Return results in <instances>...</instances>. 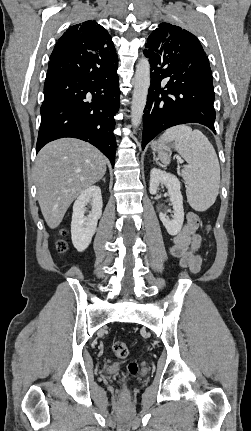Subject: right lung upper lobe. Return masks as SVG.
Segmentation results:
<instances>
[{"label":"right lung upper lobe","mask_w":251,"mask_h":431,"mask_svg":"<svg viewBox=\"0 0 251 431\" xmlns=\"http://www.w3.org/2000/svg\"><path fill=\"white\" fill-rule=\"evenodd\" d=\"M54 48L67 54L97 53L106 63L117 59L107 30L91 20L71 26Z\"/></svg>","instance_id":"obj_1"}]
</instances>
